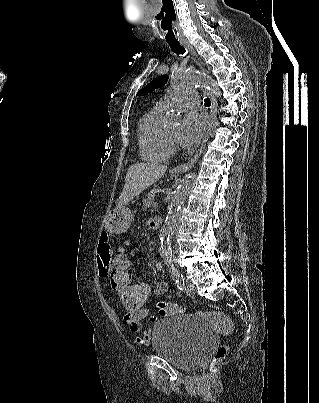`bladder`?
Wrapping results in <instances>:
<instances>
[{
    "instance_id": "31cf9c89",
    "label": "bladder",
    "mask_w": 319,
    "mask_h": 403,
    "mask_svg": "<svg viewBox=\"0 0 319 403\" xmlns=\"http://www.w3.org/2000/svg\"><path fill=\"white\" fill-rule=\"evenodd\" d=\"M216 346L215 333L194 315L161 318L153 327L154 353L179 369L196 368Z\"/></svg>"
}]
</instances>
